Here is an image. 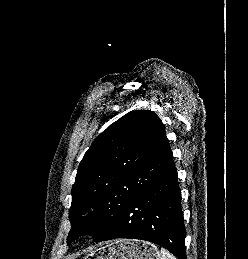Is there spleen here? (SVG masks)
<instances>
[{"label":"spleen","instance_id":"1","mask_svg":"<svg viewBox=\"0 0 248 259\" xmlns=\"http://www.w3.org/2000/svg\"><path fill=\"white\" fill-rule=\"evenodd\" d=\"M161 259H177V258L165 248H161Z\"/></svg>","mask_w":248,"mask_h":259}]
</instances>
